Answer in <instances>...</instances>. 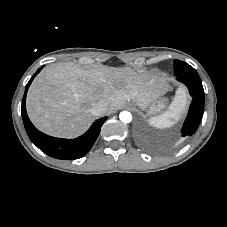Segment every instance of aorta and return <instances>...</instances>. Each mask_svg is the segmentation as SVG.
I'll list each match as a JSON object with an SVG mask.
<instances>
[{"label": "aorta", "instance_id": "aorta-1", "mask_svg": "<svg viewBox=\"0 0 227 227\" xmlns=\"http://www.w3.org/2000/svg\"><path fill=\"white\" fill-rule=\"evenodd\" d=\"M119 118L123 123H130L132 121V114L128 111H122L119 114Z\"/></svg>", "mask_w": 227, "mask_h": 227}]
</instances>
